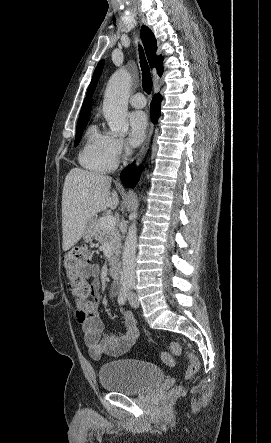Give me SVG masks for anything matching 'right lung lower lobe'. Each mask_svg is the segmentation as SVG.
Here are the masks:
<instances>
[{"label":"right lung lower lobe","mask_w":271,"mask_h":443,"mask_svg":"<svg viewBox=\"0 0 271 443\" xmlns=\"http://www.w3.org/2000/svg\"><path fill=\"white\" fill-rule=\"evenodd\" d=\"M161 96L155 95L150 106V114L153 122H157L160 116ZM141 168L136 169L134 165L129 166L121 173V180L126 187H134L139 180Z\"/></svg>","instance_id":"right-lung-lower-lobe-1"}]
</instances>
